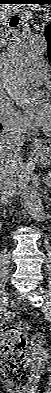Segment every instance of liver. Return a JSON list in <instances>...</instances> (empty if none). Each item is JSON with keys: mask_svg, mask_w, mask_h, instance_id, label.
Wrapping results in <instances>:
<instances>
[{"mask_svg": "<svg viewBox=\"0 0 51 393\" xmlns=\"http://www.w3.org/2000/svg\"><path fill=\"white\" fill-rule=\"evenodd\" d=\"M2 167L15 173L23 169V162L19 155L2 149L0 145V171Z\"/></svg>", "mask_w": 51, "mask_h": 393, "instance_id": "6515ba94", "label": "liver"}]
</instances>
